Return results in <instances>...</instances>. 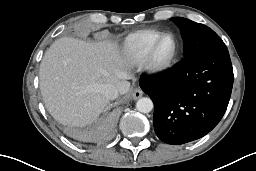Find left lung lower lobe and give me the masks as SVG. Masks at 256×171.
Returning <instances> with one entry per match:
<instances>
[{
    "label": "left lung lower lobe",
    "mask_w": 256,
    "mask_h": 171,
    "mask_svg": "<svg viewBox=\"0 0 256 171\" xmlns=\"http://www.w3.org/2000/svg\"><path fill=\"white\" fill-rule=\"evenodd\" d=\"M233 78L227 47L190 54L161 76H141L140 87L155 106L156 135L173 145L205 136L227 109Z\"/></svg>",
    "instance_id": "0a47b994"
}]
</instances>
